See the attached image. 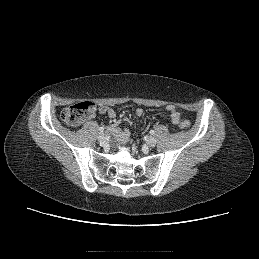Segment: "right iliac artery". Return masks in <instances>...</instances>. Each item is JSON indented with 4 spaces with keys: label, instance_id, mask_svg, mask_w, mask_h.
<instances>
[{
    "label": "right iliac artery",
    "instance_id": "obj_1",
    "mask_svg": "<svg viewBox=\"0 0 259 259\" xmlns=\"http://www.w3.org/2000/svg\"><path fill=\"white\" fill-rule=\"evenodd\" d=\"M99 131H100V132H103V131H104V127H100V128H99Z\"/></svg>",
    "mask_w": 259,
    "mask_h": 259
}]
</instances>
